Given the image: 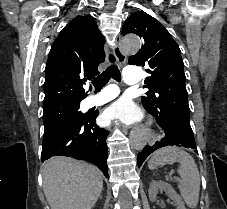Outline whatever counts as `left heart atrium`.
<instances>
[{
  "label": "left heart atrium",
  "instance_id": "1",
  "mask_svg": "<svg viewBox=\"0 0 227 209\" xmlns=\"http://www.w3.org/2000/svg\"><path fill=\"white\" fill-rule=\"evenodd\" d=\"M142 113L132 101L122 99L112 103L103 114L102 120L108 124L112 120H118L125 124H132L141 119Z\"/></svg>",
  "mask_w": 227,
  "mask_h": 209
}]
</instances>
